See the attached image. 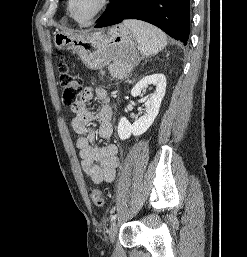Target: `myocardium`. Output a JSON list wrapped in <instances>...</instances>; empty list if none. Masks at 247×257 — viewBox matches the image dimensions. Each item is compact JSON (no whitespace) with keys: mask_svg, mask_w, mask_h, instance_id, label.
<instances>
[{"mask_svg":"<svg viewBox=\"0 0 247 257\" xmlns=\"http://www.w3.org/2000/svg\"><path fill=\"white\" fill-rule=\"evenodd\" d=\"M73 0H67L66 3V9H67V13L68 16L79 26L81 27H87L92 25L100 16L101 14L107 9L110 0H100L99 1V5L98 8L96 9V11L91 15V17H89L86 21H81L79 20L72 12V5Z\"/></svg>","mask_w":247,"mask_h":257,"instance_id":"myocardium-1","label":"myocardium"}]
</instances>
